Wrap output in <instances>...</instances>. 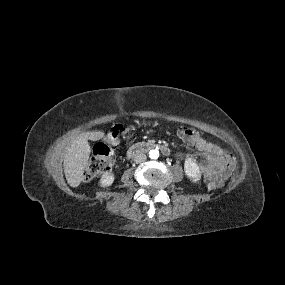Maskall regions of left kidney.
I'll return each mask as SVG.
<instances>
[{"mask_svg":"<svg viewBox=\"0 0 285 285\" xmlns=\"http://www.w3.org/2000/svg\"><path fill=\"white\" fill-rule=\"evenodd\" d=\"M184 169L185 174L192 180H198L201 176L199 166L191 159L185 161Z\"/></svg>","mask_w":285,"mask_h":285,"instance_id":"5707ae66","label":"left kidney"}]
</instances>
